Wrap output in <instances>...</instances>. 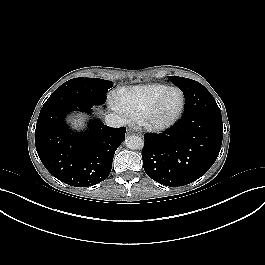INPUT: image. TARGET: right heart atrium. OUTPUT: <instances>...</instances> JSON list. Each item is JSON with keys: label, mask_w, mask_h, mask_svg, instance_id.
I'll return each instance as SVG.
<instances>
[{"label": "right heart atrium", "mask_w": 265, "mask_h": 265, "mask_svg": "<svg viewBox=\"0 0 265 265\" xmlns=\"http://www.w3.org/2000/svg\"><path fill=\"white\" fill-rule=\"evenodd\" d=\"M111 106L114 110L120 112V113H124L122 111V109L119 107L118 102H117V97L113 96L112 100H111Z\"/></svg>", "instance_id": "d8ad5b80"}]
</instances>
